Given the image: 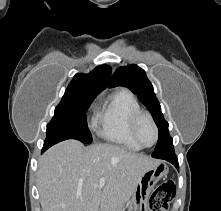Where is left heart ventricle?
I'll list each match as a JSON object with an SVG mask.
<instances>
[{
    "label": "left heart ventricle",
    "mask_w": 221,
    "mask_h": 211,
    "mask_svg": "<svg viewBox=\"0 0 221 211\" xmlns=\"http://www.w3.org/2000/svg\"><path fill=\"white\" fill-rule=\"evenodd\" d=\"M138 135L145 145H151L155 139L153 126L147 118H143L138 126Z\"/></svg>",
    "instance_id": "left-heart-ventricle-1"
}]
</instances>
